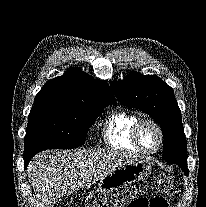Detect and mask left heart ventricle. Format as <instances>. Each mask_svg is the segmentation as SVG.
I'll list each match as a JSON object with an SVG mask.
<instances>
[{
  "label": "left heart ventricle",
  "instance_id": "obj_1",
  "mask_svg": "<svg viewBox=\"0 0 206 207\" xmlns=\"http://www.w3.org/2000/svg\"><path fill=\"white\" fill-rule=\"evenodd\" d=\"M140 141L147 149H154L159 142L157 130L150 124H144L140 129Z\"/></svg>",
  "mask_w": 206,
  "mask_h": 207
}]
</instances>
